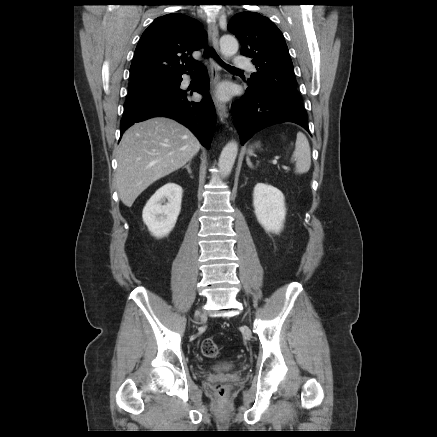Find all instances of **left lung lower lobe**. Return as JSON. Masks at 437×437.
I'll list each match as a JSON object with an SVG mask.
<instances>
[{"instance_id": "left-lung-lower-lobe-1", "label": "left lung lower lobe", "mask_w": 437, "mask_h": 437, "mask_svg": "<svg viewBox=\"0 0 437 437\" xmlns=\"http://www.w3.org/2000/svg\"><path fill=\"white\" fill-rule=\"evenodd\" d=\"M231 112L242 145L257 131L276 123L294 122L309 131L300 100L266 90L248 87Z\"/></svg>"}]
</instances>
